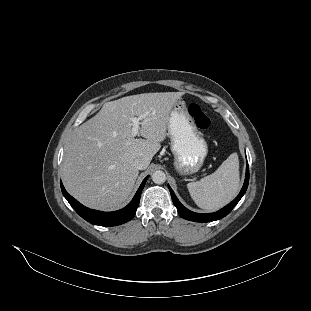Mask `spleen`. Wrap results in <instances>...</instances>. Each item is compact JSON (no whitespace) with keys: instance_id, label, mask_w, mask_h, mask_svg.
<instances>
[{"instance_id":"1","label":"spleen","mask_w":311,"mask_h":311,"mask_svg":"<svg viewBox=\"0 0 311 311\" xmlns=\"http://www.w3.org/2000/svg\"><path fill=\"white\" fill-rule=\"evenodd\" d=\"M193 202L205 210H216L232 200L239 189V163L230 154L213 173L186 184Z\"/></svg>"}]
</instances>
